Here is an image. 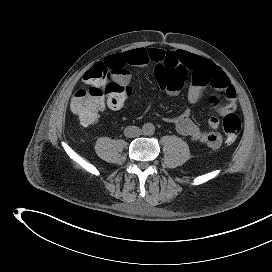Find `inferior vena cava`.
<instances>
[{
  "label": "inferior vena cava",
  "mask_w": 272,
  "mask_h": 272,
  "mask_svg": "<svg viewBox=\"0 0 272 272\" xmlns=\"http://www.w3.org/2000/svg\"><path fill=\"white\" fill-rule=\"evenodd\" d=\"M141 133H142V130L136 126H128L124 130L125 136L129 138L138 137L139 135H141Z\"/></svg>",
  "instance_id": "1"
}]
</instances>
